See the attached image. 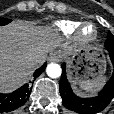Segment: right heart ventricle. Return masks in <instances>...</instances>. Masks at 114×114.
<instances>
[{
  "instance_id": "1",
  "label": "right heart ventricle",
  "mask_w": 114,
  "mask_h": 114,
  "mask_svg": "<svg viewBox=\"0 0 114 114\" xmlns=\"http://www.w3.org/2000/svg\"><path fill=\"white\" fill-rule=\"evenodd\" d=\"M79 23L71 20H60L55 23V27L64 35H72L78 28Z\"/></svg>"
}]
</instances>
